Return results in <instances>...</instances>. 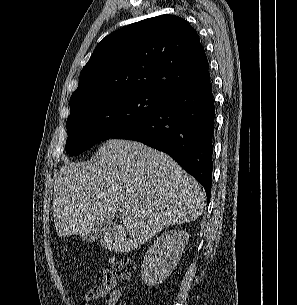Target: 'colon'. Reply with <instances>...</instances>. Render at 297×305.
Wrapping results in <instances>:
<instances>
[{
	"instance_id": "1",
	"label": "colon",
	"mask_w": 297,
	"mask_h": 305,
	"mask_svg": "<svg viewBox=\"0 0 297 305\" xmlns=\"http://www.w3.org/2000/svg\"><path fill=\"white\" fill-rule=\"evenodd\" d=\"M111 273L114 277L121 281H129L132 279L135 272V265L129 258H115L112 261Z\"/></svg>"
}]
</instances>
